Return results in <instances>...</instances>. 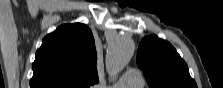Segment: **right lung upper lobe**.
<instances>
[{
  "mask_svg": "<svg viewBox=\"0 0 223 88\" xmlns=\"http://www.w3.org/2000/svg\"><path fill=\"white\" fill-rule=\"evenodd\" d=\"M97 54L91 30L64 24L44 37L32 64L31 88H89L98 82Z\"/></svg>",
  "mask_w": 223,
  "mask_h": 88,
  "instance_id": "obj_1",
  "label": "right lung upper lobe"
}]
</instances>
